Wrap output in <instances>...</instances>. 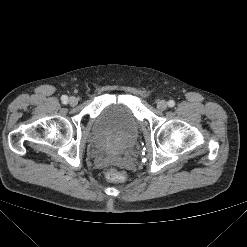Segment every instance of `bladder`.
Returning <instances> with one entry per match:
<instances>
[{"label": "bladder", "instance_id": "obj_1", "mask_svg": "<svg viewBox=\"0 0 247 247\" xmlns=\"http://www.w3.org/2000/svg\"><path fill=\"white\" fill-rule=\"evenodd\" d=\"M138 130L139 121L128 103L122 100L108 102L94 120V147L106 156H123L133 150Z\"/></svg>", "mask_w": 247, "mask_h": 247}]
</instances>
